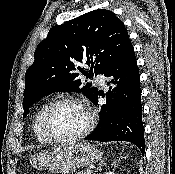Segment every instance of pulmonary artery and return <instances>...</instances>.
I'll return each instance as SVG.
<instances>
[{
	"label": "pulmonary artery",
	"instance_id": "obj_1",
	"mask_svg": "<svg viewBox=\"0 0 175 174\" xmlns=\"http://www.w3.org/2000/svg\"><path fill=\"white\" fill-rule=\"evenodd\" d=\"M98 80L101 84L104 83V77L102 75H98Z\"/></svg>",
	"mask_w": 175,
	"mask_h": 174
}]
</instances>
